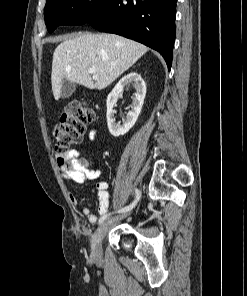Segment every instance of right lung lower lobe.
<instances>
[{
	"instance_id": "1",
	"label": "right lung lower lobe",
	"mask_w": 247,
	"mask_h": 296,
	"mask_svg": "<svg viewBox=\"0 0 247 296\" xmlns=\"http://www.w3.org/2000/svg\"><path fill=\"white\" fill-rule=\"evenodd\" d=\"M177 0H108L88 23L158 51L170 70L175 40Z\"/></svg>"
}]
</instances>
